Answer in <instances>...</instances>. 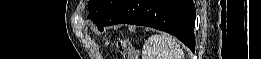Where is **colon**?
<instances>
[{
    "instance_id": "5ec220e1",
    "label": "colon",
    "mask_w": 261,
    "mask_h": 59,
    "mask_svg": "<svg viewBox=\"0 0 261 59\" xmlns=\"http://www.w3.org/2000/svg\"><path fill=\"white\" fill-rule=\"evenodd\" d=\"M117 48L120 53L123 55L125 59H133L134 57V50L132 45L126 40H119L117 41Z\"/></svg>"
}]
</instances>
